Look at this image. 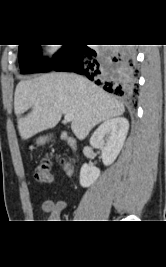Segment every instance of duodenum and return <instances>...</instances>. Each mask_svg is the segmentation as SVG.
Listing matches in <instances>:
<instances>
[{
	"mask_svg": "<svg viewBox=\"0 0 166 267\" xmlns=\"http://www.w3.org/2000/svg\"><path fill=\"white\" fill-rule=\"evenodd\" d=\"M64 138H65L66 142L69 144L70 149H71L72 153L74 154L75 158L78 159L76 141L73 138L68 137V136H65Z\"/></svg>",
	"mask_w": 166,
	"mask_h": 267,
	"instance_id": "duodenum-1",
	"label": "duodenum"
}]
</instances>
